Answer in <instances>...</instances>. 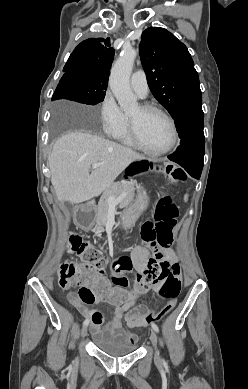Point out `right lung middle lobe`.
<instances>
[{"label": "right lung middle lobe", "mask_w": 248, "mask_h": 389, "mask_svg": "<svg viewBox=\"0 0 248 389\" xmlns=\"http://www.w3.org/2000/svg\"><path fill=\"white\" fill-rule=\"evenodd\" d=\"M107 85L95 83L84 72H65L52 100L69 99L82 104L96 105L104 100Z\"/></svg>", "instance_id": "obj_1"}]
</instances>
